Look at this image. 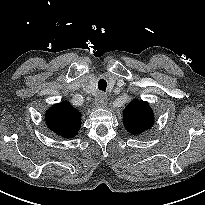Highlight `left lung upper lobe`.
<instances>
[{
  "instance_id": "5c2ea615",
  "label": "left lung upper lobe",
  "mask_w": 205,
  "mask_h": 205,
  "mask_svg": "<svg viewBox=\"0 0 205 205\" xmlns=\"http://www.w3.org/2000/svg\"><path fill=\"white\" fill-rule=\"evenodd\" d=\"M154 114L145 101L133 100L123 111V124L134 135H138L153 126Z\"/></svg>"
}]
</instances>
